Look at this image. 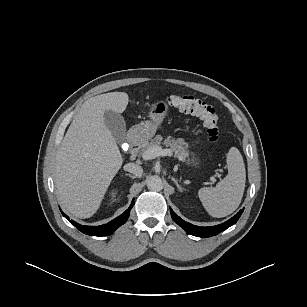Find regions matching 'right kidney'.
I'll return each mask as SVG.
<instances>
[{
    "label": "right kidney",
    "instance_id": "obj_1",
    "mask_svg": "<svg viewBox=\"0 0 307 307\" xmlns=\"http://www.w3.org/2000/svg\"><path fill=\"white\" fill-rule=\"evenodd\" d=\"M117 191L116 190H112L110 193V196L112 198L113 201H115L116 199H114L116 197Z\"/></svg>",
    "mask_w": 307,
    "mask_h": 307
}]
</instances>
